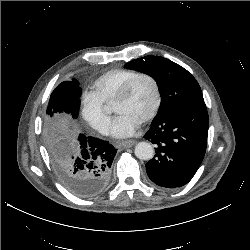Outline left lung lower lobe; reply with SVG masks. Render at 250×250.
<instances>
[{
  "label": "left lung lower lobe",
  "mask_w": 250,
  "mask_h": 250,
  "mask_svg": "<svg viewBox=\"0 0 250 250\" xmlns=\"http://www.w3.org/2000/svg\"><path fill=\"white\" fill-rule=\"evenodd\" d=\"M208 127L205 103L184 107L152 121L144 135L156 145L155 156L146 164L151 181L169 189L187 184L204 158Z\"/></svg>",
  "instance_id": "0a47b994"
}]
</instances>
